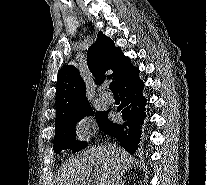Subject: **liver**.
Wrapping results in <instances>:
<instances>
[{
	"mask_svg": "<svg viewBox=\"0 0 207 185\" xmlns=\"http://www.w3.org/2000/svg\"><path fill=\"white\" fill-rule=\"evenodd\" d=\"M98 165L103 169L102 175H99L98 185H111L115 183L117 175L124 173L123 169L136 165V161L121 147H110V145L92 147L84 151L80 159H72L67 163L65 185H77L78 181H84L92 169L98 171Z\"/></svg>",
	"mask_w": 207,
	"mask_h": 185,
	"instance_id": "liver-1",
	"label": "liver"
}]
</instances>
